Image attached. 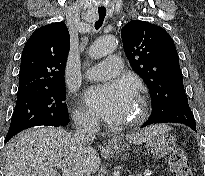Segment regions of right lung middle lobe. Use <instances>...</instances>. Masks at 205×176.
I'll return each instance as SVG.
<instances>
[{
  "mask_svg": "<svg viewBox=\"0 0 205 176\" xmlns=\"http://www.w3.org/2000/svg\"><path fill=\"white\" fill-rule=\"evenodd\" d=\"M65 95V84L17 94L15 110L5 141L34 126L69 123L67 106L64 103Z\"/></svg>",
  "mask_w": 205,
  "mask_h": 176,
  "instance_id": "obj_1",
  "label": "right lung middle lobe"
}]
</instances>
